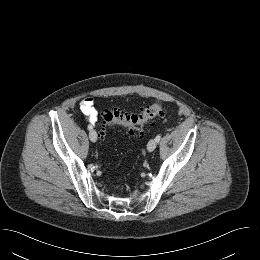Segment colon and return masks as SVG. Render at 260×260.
<instances>
[{
	"mask_svg": "<svg viewBox=\"0 0 260 260\" xmlns=\"http://www.w3.org/2000/svg\"><path fill=\"white\" fill-rule=\"evenodd\" d=\"M163 108L159 102H153L143 108L137 114H127L118 109L105 110L102 114L103 129L100 137L106 136L108 128L117 126L122 127L129 134L141 133L151 120L162 114Z\"/></svg>",
	"mask_w": 260,
	"mask_h": 260,
	"instance_id": "colon-1",
	"label": "colon"
}]
</instances>
